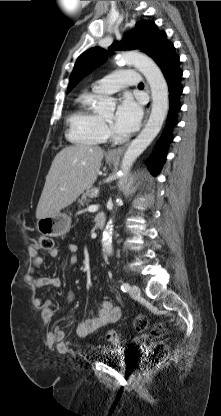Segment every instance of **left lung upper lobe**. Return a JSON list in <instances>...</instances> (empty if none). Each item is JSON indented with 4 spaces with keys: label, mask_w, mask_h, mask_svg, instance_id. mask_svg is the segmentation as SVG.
Segmentation results:
<instances>
[{
    "label": "left lung upper lobe",
    "mask_w": 221,
    "mask_h": 416,
    "mask_svg": "<svg viewBox=\"0 0 221 416\" xmlns=\"http://www.w3.org/2000/svg\"><path fill=\"white\" fill-rule=\"evenodd\" d=\"M163 34L164 32H160L154 22L139 21L129 38L123 39L120 42H114L110 46V49H138L150 56L152 50ZM106 56L107 52L99 47L90 48L83 52L76 61L67 92H69L82 77L101 64Z\"/></svg>",
    "instance_id": "obj_1"
}]
</instances>
